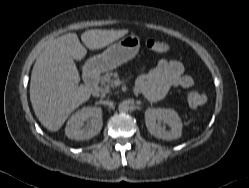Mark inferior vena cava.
<instances>
[{
	"label": "inferior vena cava",
	"mask_w": 249,
	"mask_h": 188,
	"mask_svg": "<svg viewBox=\"0 0 249 188\" xmlns=\"http://www.w3.org/2000/svg\"><path fill=\"white\" fill-rule=\"evenodd\" d=\"M103 104L108 105V106H112L113 102L110 100H105V101H103Z\"/></svg>",
	"instance_id": "inferior-vena-cava-1"
}]
</instances>
